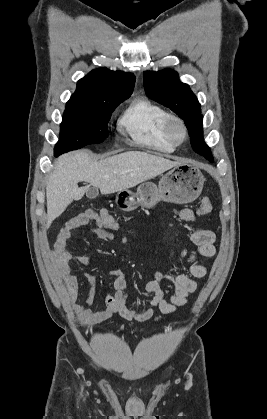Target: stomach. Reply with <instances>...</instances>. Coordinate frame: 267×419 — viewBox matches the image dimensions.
Wrapping results in <instances>:
<instances>
[{
    "instance_id": "obj_1",
    "label": "stomach",
    "mask_w": 267,
    "mask_h": 419,
    "mask_svg": "<svg viewBox=\"0 0 267 419\" xmlns=\"http://www.w3.org/2000/svg\"><path fill=\"white\" fill-rule=\"evenodd\" d=\"M204 181L198 166L189 162L180 163L162 175L158 186L152 182H143L136 193L128 189L119 191L116 203L125 212L133 211L138 206L151 208L159 201L190 203L200 195Z\"/></svg>"
}]
</instances>
